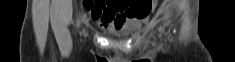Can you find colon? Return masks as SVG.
<instances>
[{
  "label": "colon",
  "mask_w": 235,
  "mask_h": 62,
  "mask_svg": "<svg viewBox=\"0 0 235 62\" xmlns=\"http://www.w3.org/2000/svg\"><path fill=\"white\" fill-rule=\"evenodd\" d=\"M127 2L133 14L138 18L145 17L149 13L151 8L150 0H140V1L131 0Z\"/></svg>",
  "instance_id": "colon-1"
}]
</instances>
